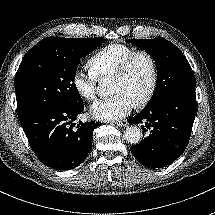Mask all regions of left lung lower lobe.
Masks as SVG:
<instances>
[{"instance_id":"0a47b994","label":"left lung lower lobe","mask_w":215,"mask_h":215,"mask_svg":"<svg viewBox=\"0 0 215 215\" xmlns=\"http://www.w3.org/2000/svg\"><path fill=\"white\" fill-rule=\"evenodd\" d=\"M195 87L170 94L128 119L131 124L145 123L149 136L130 148L146 167L159 168L172 163L188 145L196 114ZM143 132H146L142 126Z\"/></svg>"}]
</instances>
